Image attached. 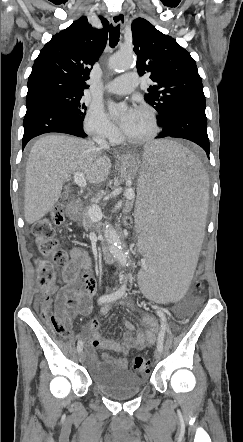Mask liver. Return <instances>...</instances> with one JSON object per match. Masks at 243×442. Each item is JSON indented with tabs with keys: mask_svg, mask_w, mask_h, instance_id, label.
<instances>
[{
	"mask_svg": "<svg viewBox=\"0 0 243 442\" xmlns=\"http://www.w3.org/2000/svg\"><path fill=\"white\" fill-rule=\"evenodd\" d=\"M110 169L109 157L92 141L56 134L39 138L30 150L26 165V222L33 224L51 210L72 173L84 172L88 182L98 184L107 179Z\"/></svg>",
	"mask_w": 243,
	"mask_h": 442,
	"instance_id": "obj_1",
	"label": "liver"
}]
</instances>
